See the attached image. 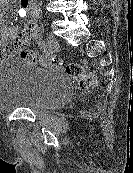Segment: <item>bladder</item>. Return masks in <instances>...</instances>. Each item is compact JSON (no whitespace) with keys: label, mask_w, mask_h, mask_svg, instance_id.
Returning <instances> with one entry per match:
<instances>
[{"label":"bladder","mask_w":133,"mask_h":173,"mask_svg":"<svg viewBox=\"0 0 133 173\" xmlns=\"http://www.w3.org/2000/svg\"><path fill=\"white\" fill-rule=\"evenodd\" d=\"M69 80L20 59L0 65V111L17 108L39 112L56 108L70 98Z\"/></svg>","instance_id":"1"}]
</instances>
